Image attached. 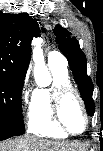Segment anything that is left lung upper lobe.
Instances as JSON below:
<instances>
[{
	"label": "left lung upper lobe",
	"instance_id": "left-lung-upper-lobe-1",
	"mask_svg": "<svg viewBox=\"0 0 103 151\" xmlns=\"http://www.w3.org/2000/svg\"><path fill=\"white\" fill-rule=\"evenodd\" d=\"M58 49L65 55L72 70L75 82L79 87L84 100L87 113L94 114V101L92 99L94 85L87 75V60L75 37L71 36L65 28L57 25L54 28Z\"/></svg>",
	"mask_w": 103,
	"mask_h": 151
}]
</instances>
